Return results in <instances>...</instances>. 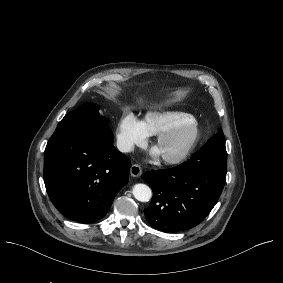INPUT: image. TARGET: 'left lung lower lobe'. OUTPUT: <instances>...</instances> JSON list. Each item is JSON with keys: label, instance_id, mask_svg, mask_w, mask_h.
Listing matches in <instances>:
<instances>
[{"label": "left lung lower lobe", "instance_id": "0a47b994", "mask_svg": "<svg viewBox=\"0 0 283 283\" xmlns=\"http://www.w3.org/2000/svg\"><path fill=\"white\" fill-rule=\"evenodd\" d=\"M225 143L208 141L187 162L152 170L142 179L153 189L144 209L149 224L163 232H178L199 224L217 203L226 182Z\"/></svg>", "mask_w": 283, "mask_h": 283}]
</instances>
